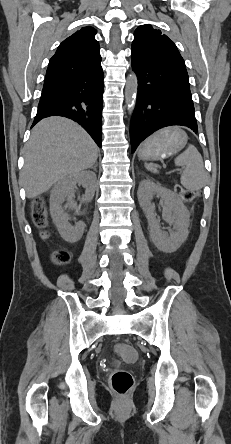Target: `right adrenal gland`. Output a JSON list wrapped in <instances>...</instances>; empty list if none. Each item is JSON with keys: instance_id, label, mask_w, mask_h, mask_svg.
<instances>
[{"instance_id": "obj_1", "label": "right adrenal gland", "mask_w": 231, "mask_h": 444, "mask_svg": "<svg viewBox=\"0 0 231 444\" xmlns=\"http://www.w3.org/2000/svg\"><path fill=\"white\" fill-rule=\"evenodd\" d=\"M96 167H97V164H95V165L92 167V169H93L94 171H96V170H97Z\"/></svg>"}]
</instances>
